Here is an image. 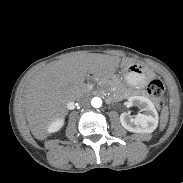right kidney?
<instances>
[{
    "mask_svg": "<svg viewBox=\"0 0 183 183\" xmlns=\"http://www.w3.org/2000/svg\"><path fill=\"white\" fill-rule=\"evenodd\" d=\"M64 125V118H57L53 120L47 127V132L53 133L57 132Z\"/></svg>",
    "mask_w": 183,
    "mask_h": 183,
    "instance_id": "right-kidney-1",
    "label": "right kidney"
}]
</instances>
